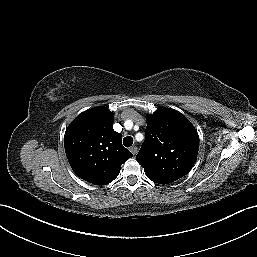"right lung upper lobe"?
I'll list each match as a JSON object with an SVG mask.
<instances>
[{"instance_id":"1","label":"right lung upper lobe","mask_w":257,"mask_h":257,"mask_svg":"<svg viewBox=\"0 0 257 257\" xmlns=\"http://www.w3.org/2000/svg\"><path fill=\"white\" fill-rule=\"evenodd\" d=\"M113 118L107 108L95 107L79 114L65 132L64 148L73 171L94 185L112 182L133 156L122 146V134L114 131Z\"/></svg>"}]
</instances>
